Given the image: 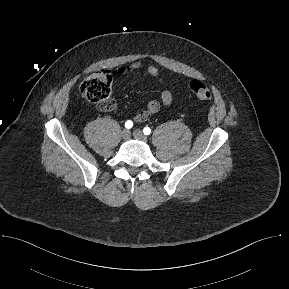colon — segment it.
I'll return each instance as SVG.
<instances>
[{"mask_svg": "<svg viewBox=\"0 0 289 289\" xmlns=\"http://www.w3.org/2000/svg\"><path fill=\"white\" fill-rule=\"evenodd\" d=\"M112 76L109 72H99L86 77L80 84L82 96L100 111H111L115 101L111 98ZM190 90L201 100H211V90L201 81L193 80Z\"/></svg>", "mask_w": 289, "mask_h": 289, "instance_id": "colon-1", "label": "colon"}]
</instances>
